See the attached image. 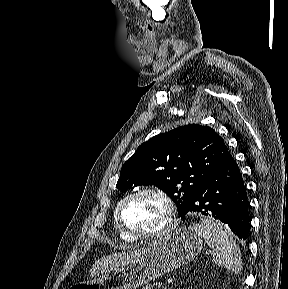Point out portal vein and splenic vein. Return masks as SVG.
Here are the masks:
<instances>
[{"label":"portal vein and splenic vein","instance_id":"1","mask_svg":"<svg viewBox=\"0 0 288 289\" xmlns=\"http://www.w3.org/2000/svg\"><path fill=\"white\" fill-rule=\"evenodd\" d=\"M157 287H158V289H167V287L164 283H159Z\"/></svg>","mask_w":288,"mask_h":289}]
</instances>
